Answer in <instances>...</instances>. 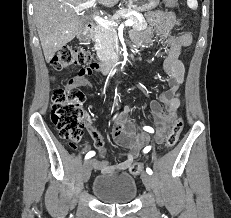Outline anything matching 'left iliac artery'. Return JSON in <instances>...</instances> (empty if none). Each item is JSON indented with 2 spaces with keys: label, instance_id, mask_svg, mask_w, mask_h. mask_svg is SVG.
<instances>
[{
  "label": "left iliac artery",
  "instance_id": "1",
  "mask_svg": "<svg viewBox=\"0 0 231 218\" xmlns=\"http://www.w3.org/2000/svg\"><path fill=\"white\" fill-rule=\"evenodd\" d=\"M143 129L147 132H150V133H154V129L152 127H149V126H145L143 127ZM151 150V146H146L144 148V153H148L149 151ZM146 172L149 174V175H152V170L150 168H147L146 169Z\"/></svg>",
  "mask_w": 231,
  "mask_h": 218
}]
</instances>
